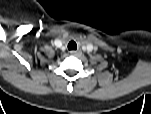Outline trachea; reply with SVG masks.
<instances>
[{
	"label": "trachea",
	"instance_id": "trachea-1",
	"mask_svg": "<svg viewBox=\"0 0 151 114\" xmlns=\"http://www.w3.org/2000/svg\"><path fill=\"white\" fill-rule=\"evenodd\" d=\"M77 49V44L75 41H70L68 43V50H76Z\"/></svg>",
	"mask_w": 151,
	"mask_h": 114
}]
</instances>
